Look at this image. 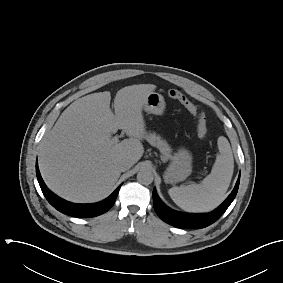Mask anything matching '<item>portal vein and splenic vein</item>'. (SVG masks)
<instances>
[{
  "mask_svg": "<svg viewBox=\"0 0 283 283\" xmlns=\"http://www.w3.org/2000/svg\"><path fill=\"white\" fill-rule=\"evenodd\" d=\"M113 141L114 142H118V138L115 136V137H113Z\"/></svg>",
  "mask_w": 283,
  "mask_h": 283,
  "instance_id": "18ae733b",
  "label": "portal vein and splenic vein"
}]
</instances>
